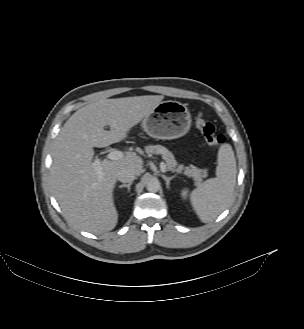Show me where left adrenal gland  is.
Masks as SVG:
<instances>
[{
    "label": "left adrenal gland",
    "instance_id": "left-adrenal-gland-1",
    "mask_svg": "<svg viewBox=\"0 0 304 329\" xmlns=\"http://www.w3.org/2000/svg\"><path fill=\"white\" fill-rule=\"evenodd\" d=\"M175 176H171V177H167L165 175H162V178L165 180L166 182V188L169 189L170 188V181L174 178Z\"/></svg>",
    "mask_w": 304,
    "mask_h": 329
}]
</instances>
